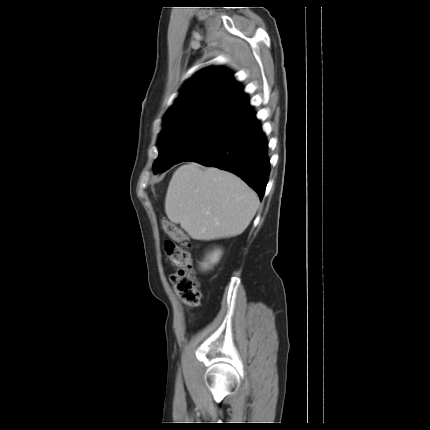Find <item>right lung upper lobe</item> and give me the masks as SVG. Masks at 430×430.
<instances>
[{
	"label": "right lung upper lobe",
	"instance_id": "cb5924a9",
	"mask_svg": "<svg viewBox=\"0 0 430 430\" xmlns=\"http://www.w3.org/2000/svg\"><path fill=\"white\" fill-rule=\"evenodd\" d=\"M242 90L228 70L215 66L207 67L184 84L175 103L166 114L207 102L221 101L231 106L242 117L251 109L249 100L241 94Z\"/></svg>",
	"mask_w": 430,
	"mask_h": 430
}]
</instances>
